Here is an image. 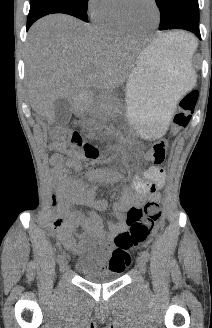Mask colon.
<instances>
[{"label": "colon", "mask_w": 212, "mask_h": 328, "mask_svg": "<svg viewBox=\"0 0 212 328\" xmlns=\"http://www.w3.org/2000/svg\"><path fill=\"white\" fill-rule=\"evenodd\" d=\"M197 100L198 92L196 90L187 92L180 99L170 127L173 135L180 133L189 125ZM51 136L56 145L70 144L74 150L81 152L86 159H95L99 155L98 149L94 145L84 142L78 132L55 128ZM167 148L168 141L166 139L156 141L149 152V160L155 165L161 164L164 161ZM160 216V207L155 202L130 208L126 214L129 229L117 234L115 237L116 248L110 257V264L113 265L117 262L119 266L126 268L131 261L129 250L142 245L148 240L154 231V224ZM67 242L70 243L71 241L67 239Z\"/></svg>", "instance_id": "5ec220e1"}]
</instances>
